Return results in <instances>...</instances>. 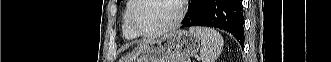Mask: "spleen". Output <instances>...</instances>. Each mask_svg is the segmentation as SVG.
<instances>
[{
	"label": "spleen",
	"mask_w": 331,
	"mask_h": 62,
	"mask_svg": "<svg viewBox=\"0 0 331 62\" xmlns=\"http://www.w3.org/2000/svg\"><path fill=\"white\" fill-rule=\"evenodd\" d=\"M189 31L201 42L200 58L202 62H215L223 47V37L214 29L191 27Z\"/></svg>",
	"instance_id": "spleen-1"
}]
</instances>
